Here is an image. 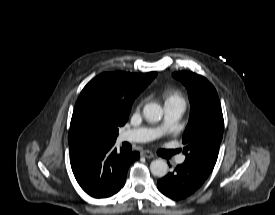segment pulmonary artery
Returning <instances> with one entry per match:
<instances>
[{
    "instance_id": "pulmonary-artery-1",
    "label": "pulmonary artery",
    "mask_w": 275,
    "mask_h": 215,
    "mask_svg": "<svg viewBox=\"0 0 275 215\" xmlns=\"http://www.w3.org/2000/svg\"><path fill=\"white\" fill-rule=\"evenodd\" d=\"M185 110L184 102H173L165 104V122L158 129H149V128H136L125 130L120 134L121 141L127 142H147L155 137L159 136L162 133H165L171 130L179 118L182 116ZM185 160L184 156H179L177 162L179 164L183 163Z\"/></svg>"
}]
</instances>
